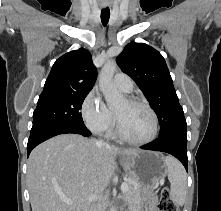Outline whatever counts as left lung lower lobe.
<instances>
[{
    "mask_svg": "<svg viewBox=\"0 0 221 211\" xmlns=\"http://www.w3.org/2000/svg\"><path fill=\"white\" fill-rule=\"evenodd\" d=\"M145 150L166 152L176 157L187 170V134L186 129L176 130L160 136L155 141L141 147Z\"/></svg>",
    "mask_w": 221,
    "mask_h": 211,
    "instance_id": "obj_1",
    "label": "left lung lower lobe"
}]
</instances>
